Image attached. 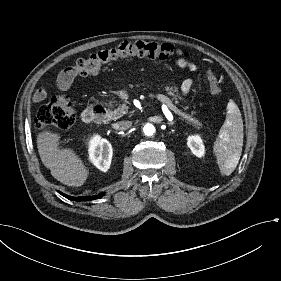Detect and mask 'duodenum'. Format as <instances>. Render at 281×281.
<instances>
[{"label":"duodenum","mask_w":281,"mask_h":281,"mask_svg":"<svg viewBox=\"0 0 281 281\" xmlns=\"http://www.w3.org/2000/svg\"><path fill=\"white\" fill-rule=\"evenodd\" d=\"M104 111L105 106L103 104H97L91 108H87L81 115L82 121L86 124L94 123L104 116Z\"/></svg>","instance_id":"1"}]
</instances>
